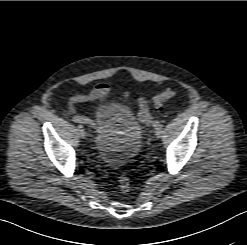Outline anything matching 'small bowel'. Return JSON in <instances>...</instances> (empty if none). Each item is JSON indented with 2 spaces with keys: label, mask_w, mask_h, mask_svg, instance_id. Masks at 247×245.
I'll use <instances>...</instances> for the list:
<instances>
[{
  "label": "small bowel",
  "mask_w": 247,
  "mask_h": 245,
  "mask_svg": "<svg viewBox=\"0 0 247 245\" xmlns=\"http://www.w3.org/2000/svg\"><path fill=\"white\" fill-rule=\"evenodd\" d=\"M109 92H110V86L107 83L104 82L98 83L88 93L77 92L72 94L68 100L67 109L70 114L74 115L76 114V108H75L76 104L89 102V101H98L99 103H102L109 94ZM128 98H129V93L126 92L124 94V101H127ZM137 103H138V113L136 115V118L138 119L139 122L145 125H150L152 122V115L147 101L143 97H139L137 99Z\"/></svg>",
  "instance_id": "1"
}]
</instances>
